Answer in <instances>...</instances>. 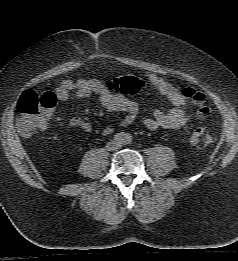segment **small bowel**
<instances>
[{
  "label": "small bowel",
  "mask_w": 238,
  "mask_h": 261,
  "mask_svg": "<svg viewBox=\"0 0 238 261\" xmlns=\"http://www.w3.org/2000/svg\"><path fill=\"white\" fill-rule=\"evenodd\" d=\"M145 78L150 82L153 89L165 96L173 105L169 110H155L150 115H142L136 102L129 100L121 93L111 92L105 82L95 78H82L76 81L63 80L55 90L51 92L57 101H67L74 99H86L93 95L98 97L100 106L108 113L124 112L125 115L119 120V126H128L140 120L149 130L166 129L173 130L180 128L192 119L188 112L191 106L189 98L183 95L182 88L165 81L154 73L145 74ZM50 111L46 116V122L41 129L47 125V119ZM66 126L72 129H81L91 131L92 125L79 117H72L66 123ZM114 127L108 126L103 133L109 135L113 132Z\"/></svg>",
  "instance_id": "c3829d8e"
}]
</instances>
